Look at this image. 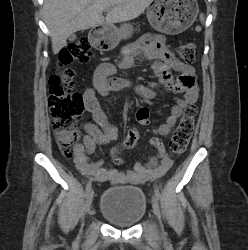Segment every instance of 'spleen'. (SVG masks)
<instances>
[{
	"label": "spleen",
	"mask_w": 248,
	"mask_h": 250,
	"mask_svg": "<svg viewBox=\"0 0 248 250\" xmlns=\"http://www.w3.org/2000/svg\"><path fill=\"white\" fill-rule=\"evenodd\" d=\"M200 20L202 23H204V15L203 14L200 15Z\"/></svg>",
	"instance_id": "spleen-1"
}]
</instances>
